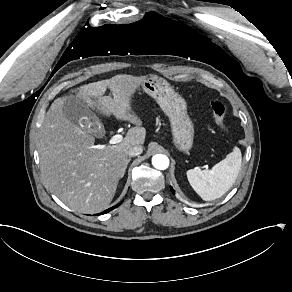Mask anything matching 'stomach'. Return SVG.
Wrapping results in <instances>:
<instances>
[{"label":"stomach","mask_w":292,"mask_h":292,"mask_svg":"<svg viewBox=\"0 0 292 292\" xmlns=\"http://www.w3.org/2000/svg\"><path fill=\"white\" fill-rule=\"evenodd\" d=\"M168 117L171 130V147L183 154L193 148L194 123L188 115L186 100L173 91L168 82L157 76H147L142 85Z\"/></svg>","instance_id":"obj_1"}]
</instances>
